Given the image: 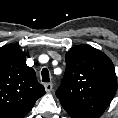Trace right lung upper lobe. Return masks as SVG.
Returning a JSON list of instances; mask_svg holds the SVG:
<instances>
[{"label":"right lung upper lobe","instance_id":"1","mask_svg":"<svg viewBox=\"0 0 118 118\" xmlns=\"http://www.w3.org/2000/svg\"><path fill=\"white\" fill-rule=\"evenodd\" d=\"M45 94L18 45L0 48V118H23Z\"/></svg>","mask_w":118,"mask_h":118}]
</instances>
